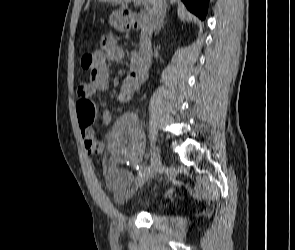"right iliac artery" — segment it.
Wrapping results in <instances>:
<instances>
[{
	"mask_svg": "<svg viewBox=\"0 0 295 250\" xmlns=\"http://www.w3.org/2000/svg\"><path fill=\"white\" fill-rule=\"evenodd\" d=\"M153 163H154V160H153V158H152V159H151V164H150V166H147V167H144L143 169H141L140 172H139V175L141 176V175H143V174L148 173V172L150 171V169H151Z\"/></svg>",
	"mask_w": 295,
	"mask_h": 250,
	"instance_id": "right-iliac-artery-1",
	"label": "right iliac artery"
}]
</instances>
